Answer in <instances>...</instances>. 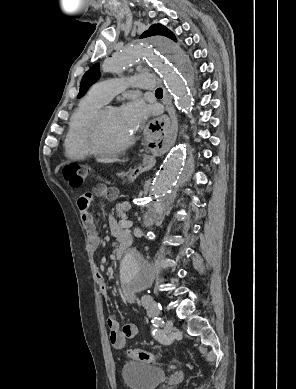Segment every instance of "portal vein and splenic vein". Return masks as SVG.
<instances>
[{"label":"portal vein and splenic vein","instance_id":"obj_1","mask_svg":"<svg viewBox=\"0 0 296 389\" xmlns=\"http://www.w3.org/2000/svg\"><path fill=\"white\" fill-rule=\"evenodd\" d=\"M120 224L121 226L123 227H131L133 225V222L132 221H127L126 218H123L121 221H120Z\"/></svg>","mask_w":296,"mask_h":389}]
</instances>
